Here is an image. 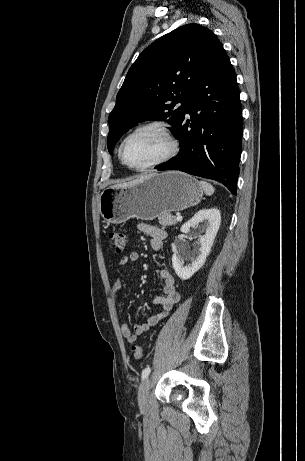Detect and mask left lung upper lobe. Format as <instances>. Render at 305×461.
Returning a JSON list of instances; mask_svg holds the SVG:
<instances>
[{
  "mask_svg": "<svg viewBox=\"0 0 305 461\" xmlns=\"http://www.w3.org/2000/svg\"><path fill=\"white\" fill-rule=\"evenodd\" d=\"M222 50L211 30L187 24L141 52L126 75L108 119L109 152L131 127L146 120L166 121L174 133L185 115L191 91Z\"/></svg>",
  "mask_w": 305,
  "mask_h": 461,
  "instance_id": "1",
  "label": "left lung upper lobe"
}]
</instances>
